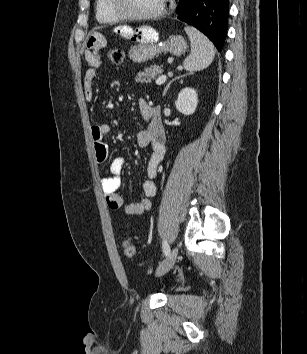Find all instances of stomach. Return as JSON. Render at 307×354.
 <instances>
[{
  "mask_svg": "<svg viewBox=\"0 0 307 354\" xmlns=\"http://www.w3.org/2000/svg\"><path fill=\"white\" fill-rule=\"evenodd\" d=\"M136 32L134 38H128L134 42L129 57L136 63L151 60L163 52L182 55L187 49V43L180 35H171L161 45H157L158 33L152 27L142 26L137 28Z\"/></svg>",
  "mask_w": 307,
  "mask_h": 354,
  "instance_id": "1",
  "label": "stomach"
}]
</instances>
